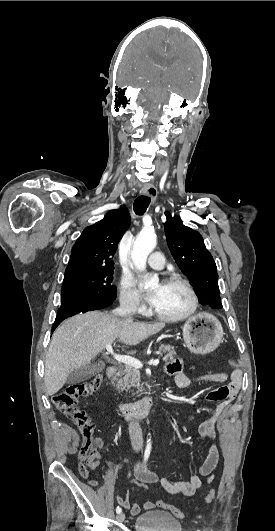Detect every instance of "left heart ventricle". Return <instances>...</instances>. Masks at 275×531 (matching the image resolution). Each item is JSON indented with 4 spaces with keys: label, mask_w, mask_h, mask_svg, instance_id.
<instances>
[{
    "label": "left heart ventricle",
    "mask_w": 275,
    "mask_h": 531,
    "mask_svg": "<svg viewBox=\"0 0 275 531\" xmlns=\"http://www.w3.org/2000/svg\"><path fill=\"white\" fill-rule=\"evenodd\" d=\"M158 297L154 309L166 316L180 315L188 310L190 297L187 290L178 283L164 282L157 286Z\"/></svg>",
    "instance_id": "b2bd125f"
}]
</instances>
